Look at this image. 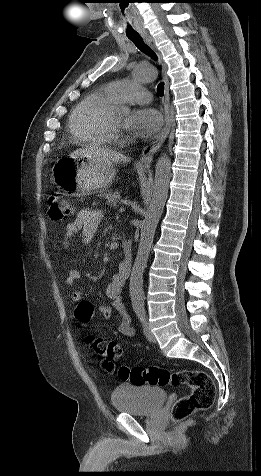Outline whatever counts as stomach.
Returning <instances> with one entry per match:
<instances>
[{
    "instance_id": "stomach-1",
    "label": "stomach",
    "mask_w": 261,
    "mask_h": 476,
    "mask_svg": "<svg viewBox=\"0 0 261 476\" xmlns=\"http://www.w3.org/2000/svg\"><path fill=\"white\" fill-rule=\"evenodd\" d=\"M115 176L113 163L86 156H63L53 169L54 180L66 195H91L93 191L109 186Z\"/></svg>"
}]
</instances>
